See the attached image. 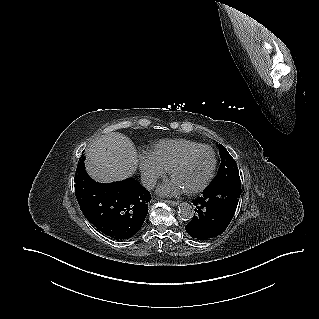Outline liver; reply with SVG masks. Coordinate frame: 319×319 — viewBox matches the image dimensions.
<instances>
[{
    "mask_svg": "<svg viewBox=\"0 0 319 319\" xmlns=\"http://www.w3.org/2000/svg\"><path fill=\"white\" fill-rule=\"evenodd\" d=\"M86 169L100 182L120 181L134 174L137 152L131 140L119 132L102 135L86 149Z\"/></svg>",
    "mask_w": 319,
    "mask_h": 319,
    "instance_id": "obj_1",
    "label": "liver"
}]
</instances>
